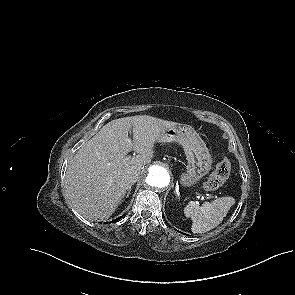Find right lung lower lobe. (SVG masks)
Listing matches in <instances>:
<instances>
[{"label": "right lung lower lobe", "instance_id": "right-lung-lower-lobe-1", "mask_svg": "<svg viewBox=\"0 0 295 295\" xmlns=\"http://www.w3.org/2000/svg\"><path fill=\"white\" fill-rule=\"evenodd\" d=\"M122 217H123V216H121V217H119V218L113 220L112 222H115V221L119 220V219L122 218Z\"/></svg>", "mask_w": 295, "mask_h": 295}]
</instances>
